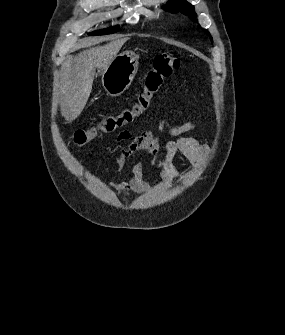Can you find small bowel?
Masks as SVG:
<instances>
[{"label": "small bowel", "instance_id": "c3829d8e", "mask_svg": "<svg viewBox=\"0 0 285 335\" xmlns=\"http://www.w3.org/2000/svg\"><path fill=\"white\" fill-rule=\"evenodd\" d=\"M174 110L181 113L178 109ZM197 126L198 124L195 121H187L179 125L163 119L158 121L160 132L178 138L166 145H161L158 136L150 130H141L138 134H134L132 131L120 133L117 141H128V144L118 150L115 162L120 170L127 172L128 177L114 185L117 193L139 195L146 191L147 186L143 178V168L146 163H138L132 168L127 165V158L138 151L150 154L152 158L148 164L158 167L162 177L168 181L177 177L174 161L178 155H181L194 166H201L208 148L192 137L186 136L194 131Z\"/></svg>", "mask_w": 285, "mask_h": 335}]
</instances>
